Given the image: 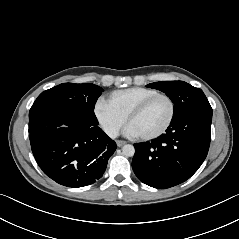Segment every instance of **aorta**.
<instances>
[{
    "label": "aorta",
    "instance_id": "obj_1",
    "mask_svg": "<svg viewBox=\"0 0 239 239\" xmlns=\"http://www.w3.org/2000/svg\"><path fill=\"white\" fill-rule=\"evenodd\" d=\"M122 153L126 157H132L135 153V148L133 145L126 144L122 147Z\"/></svg>",
    "mask_w": 239,
    "mask_h": 239
}]
</instances>
